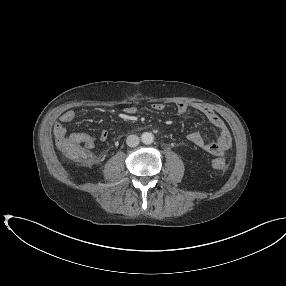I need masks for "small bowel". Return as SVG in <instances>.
Instances as JSON below:
<instances>
[{
  "label": "small bowel",
  "instance_id": "obj_1",
  "mask_svg": "<svg viewBox=\"0 0 286 286\" xmlns=\"http://www.w3.org/2000/svg\"><path fill=\"white\" fill-rule=\"evenodd\" d=\"M189 108H193L196 111L202 113L218 130L219 137L216 141H207L199 131H193L188 135V140L199 147L200 149L215 155H222L227 151L232 144V137L226 123L207 105L202 103L188 104L186 102H178L175 105V110L178 114L186 113ZM152 109L157 112H161L165 109L163 103H153ZM127 115H134L137 112L135 106H128L124 109ZM76 113L73 110H66L60 116V122L55 123L53 127V133L56 139L67 135V129L63 124L71 123L75 120ZM82 138V143L87 149H93L98 142H104L108 138V132L102 130L96 135H90L87 133H73Z\"/></svg>",
  "mask_w": 286,
  "mask_h": 286
}]
</instances>
